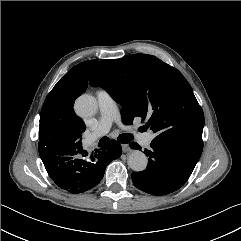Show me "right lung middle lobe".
<instances>
[{
	"instance_id": "right-lung-middle-lobe-1",
	"label": "right lung middle lobe",
	"mask_w": 241,
	"mask_h": 241,
	"mask_svg": "<svg viewBox=\"0 0 241 241\" xmlns=\"http://www.w3.org/2000/svg\"><path fill=\"white\" fill-rule=\"evenodd\" d=\"M70 150H75V148H73V149H69L68 151H70ZM64 153V152H63Z\"/></svg>"
}]
</instances>
